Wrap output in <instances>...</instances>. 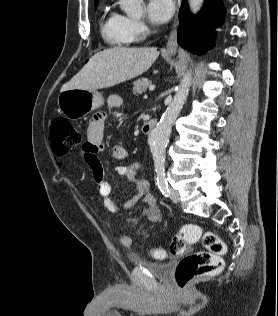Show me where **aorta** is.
<instances>
[{"label": "aorta", "instance_id": "aorta-1", "mask_svg": "<svg viewBox=\"0 0 278 316\" xmlns=\"http://www.w3.org/2000/svg\"><path fill=\"white\" fill-rule=\"evenodd\" d=\"M142 2L143 0H120V6L129 17L139 18L143 14ZM202 4L203 0H189V8L193 14H197L200 11ZM190 85L191 73H187L181 80L172 102L149 135L148 144L157 171L164 170L166 147L169 142L172 125L185 103Z\"/></svg>", "mask_w": 278, "mask_h": 316}]
</instances>
